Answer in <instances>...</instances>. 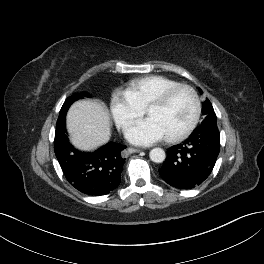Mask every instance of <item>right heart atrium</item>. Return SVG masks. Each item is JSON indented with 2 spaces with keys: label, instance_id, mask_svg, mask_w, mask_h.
I'll return each mask as SVG.
<instances>
[{
  "label": "right heart atrium",
  "instance_id": "1",
  "mask_svg": "<svg viewBox=\"0 0 264 264\" xmlns=\"http://www.w3.org/2000/svg\"><path fill=\"white\" fill-rule=\"evenodd\" d=\"M110 110L116 125L121 129H126L144 112L132 101L126 92L121 91L113 94L110 101Z\"/></svg>",
  "mask_w": 264,
  "mask_h": 264
}]
</instances>
